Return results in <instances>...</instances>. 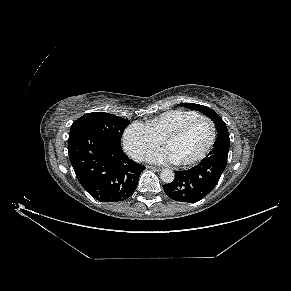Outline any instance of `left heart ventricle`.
Here are the masks:
<instances>
[{
    "label": "left heart ventricle",
    "mask_w": 291,
    "mask_h": 291,
    "mask_svg": "<svg viewBox=\"0 0 291 291\" xmlns=\"http://www.w3.org/2000/svg\"><path fill=\"white\" fill-rule=\"evenodd\" d=\"M209 138V124L199 121L180 137L168 141L165 147L172 152L176 161H187L197 156L205 148Z\"/></svg>",
    "instance_id": "b2bd125f"
}]
</instances>
